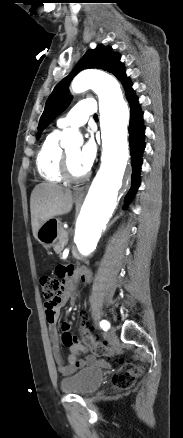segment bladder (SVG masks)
<instances>
[{"mask_svg": "<svg viewBox=\"0 0 183 438\" xmlns=\"http://www.w3.org/2000/svg\"><path fill=\"white\" fill-rule=\"evenodd\" d=\"M104 373L97 367L85 368L75 375L62 379L61 390L75 395H90L103 383Z\"/></svg>", "mask_w": 183, "mask_h": 438, "instance_id": "31cf9c89", "label": "bladder"}]
</instances>
